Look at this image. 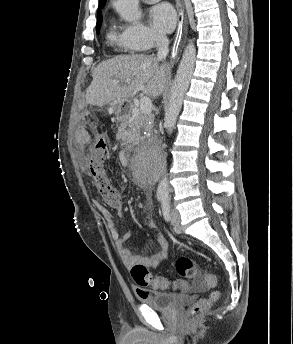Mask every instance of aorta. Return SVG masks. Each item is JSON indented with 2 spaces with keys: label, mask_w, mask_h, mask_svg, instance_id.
Instances as JSON below:
<instances>
[{
  "label": "aorta",
  "mask_w": 293,
  "mask_h": 344,
  "mask_svg": "<svg viewBox=\"0 0 293 344\" xmlns=\"http://www.w3.org/2000/svg\"><path fill=\"white\" fill-rule=\"evenodd\" d=\"M114 7L120 17L126 22H135L140 19L139 0H115ZM196 61V47L193 40L187 44L179 67L177 69L174 84L172 86L169 103L165 111L164 126L168 134H171L177 117L180 113L185 93L188 90L190 80L193 75ZM169 194L168 179L164 176L157 187L158 196H167Z\"/></svg>",
  "instance_id": "1"
}]
</instances>
